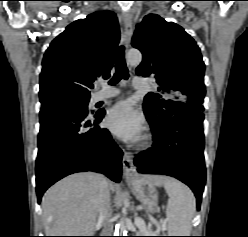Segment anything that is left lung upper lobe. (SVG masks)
<instances>
[{"label": "left lung upper lobe", "mask_w": 248, "mask_h": 237, "mask_svg": "<svg viewBox=\"0 0 248 237\" xmlns=\"http://www.w3.org/2000/svg\"><path fill=\"white\" fill-rule=\"evenodd\" d=\"M132 46L143 54L136 73L155 75L158 91L165 95L144 98V113L153 128H162L177 113L204 110L205 65L196 42L181 26L147 15L137 25Z\"/></svg>", "instance_id": "left-lung-upper-lobe-1"}]
</instances>
